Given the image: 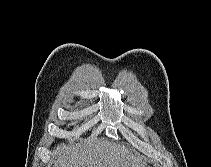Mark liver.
I'll return each mask as SVG.
<instances>
[{"instance_id":"6515ba94","label":"liver","mask_w":211,"mask_h":167,"mask_svg":"<svg viewBox=\"0 0 211 167\" xmlns=\"http://www.w3.org/2000/svg\"><path fill=\"white\" fill-rule=\"evenodd\" d=\"M57 151L53 167H143L145 164L126 147L105 140L76 150L60 144Z\"/></svg>"}]
</instances>
